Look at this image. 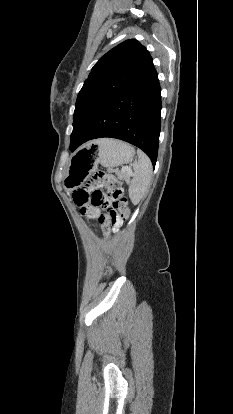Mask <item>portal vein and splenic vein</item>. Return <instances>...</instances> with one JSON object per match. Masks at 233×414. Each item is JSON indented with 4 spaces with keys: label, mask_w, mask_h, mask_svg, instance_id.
Returning <instances> with one entry per match:
<instances>
[{
    "label": "portal vein and splenic vein",
    "mask_w": 233,
    "mask_h": 414,
    "mask_svg": "<svg viewBox=\"0 0 233 414\" xmlns=\"http://www.w3.org/2000/svg\"><path fill=\"white\" fill-rule=\"evenodd\" d=\"M125 171L128 172L129 174H132V170L129 167H123L122 172H125Z\"/></svg>",
    "instance_id": "obj_1"
}]
</instances>
